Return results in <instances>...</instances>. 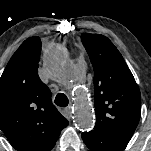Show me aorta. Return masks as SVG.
Listing matches in <instances>:
<instances>
[{
  "label": "aorta",
  "mask_w": 151,
  "mask_h": 151,
  "mask_svg": "<svg viewBox=\"0 0 151 151\" xmlns=\"http://www.w3.org/2000/svg\"><path fill=\"white\" fill-rule=\"evenodd\" d=\"M47 67L52 75L64 82L75 80V76L69 65L67 54L62 46H52L46 56ZM74 117L76 125L80 130H91L94 125V113L89 103L87 94L83 89L77 88L73 91Z\"/></svg>",
  "instance_id": "762f6f07"
}]
</instances>
